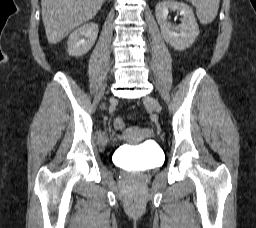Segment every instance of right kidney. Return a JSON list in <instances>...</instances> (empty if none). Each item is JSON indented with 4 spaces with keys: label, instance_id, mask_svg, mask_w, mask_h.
I'll use <instances>...</instances> for the list:
<instances>
[{
    "label": "right kidney",
    "instance_id": "1",
    "mask_svg": "<svg viewBox=\"0 0 256 228\" xmlns=\"http://www.w3.org/2000/svg\"><path fill=\"white\" fill-rule=\"evenodd\" d=\"M98 36V25L95 23L84 24L70 34L67 46L71 56H82L94 45Z\"/></svg>",
    "mask_w": 256,
    "mask_h": 228
}]
</instances>
